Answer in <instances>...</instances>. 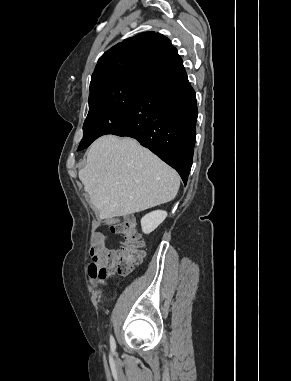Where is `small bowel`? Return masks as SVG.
<instances>
[{"mask_svg":"<svg viewBox=\"0 0 291 381\" xmlns=\"http://www.w3.org/2000/svg\"><path fill=\"white\" fill-rule=\"evenodd\" d=\"M105 246V237L102 233L96 232L94 234V249H98ZM99 283H104V281L99 280Z\"/></svg>","mask_w":291,"mask_h":381,"instance_id":"small-bowel-1","label":"small bowel"}]
</instances>
